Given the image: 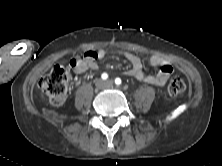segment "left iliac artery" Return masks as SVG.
I'll return each instance as SVG.
<instances>
[{"mask_svg":"<svg viewBox=\"0 0 222 166\" xmlns=\"http://www.w3.org/2000/svg\"><path fill=\"white\" fill-rule=\"evenodd\" d=\"M121 82H122V81H121V79H120V78H116V79H115V84H116V85H120V84H121Z\"/></svg>","mask_w":222,"mask_h":166,"instance_id":"1","label":"left iliac artery"}]
</instances>
